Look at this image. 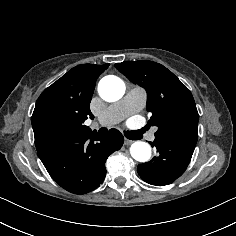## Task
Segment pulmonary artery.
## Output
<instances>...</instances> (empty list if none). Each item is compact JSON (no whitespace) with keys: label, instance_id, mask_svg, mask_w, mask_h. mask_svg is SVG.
I'll list each match as a JSON object with an SVG mask.
<instances>
[{"label":"pulmonary artery","instance_id":"pulmonary-artery-1","mask_svg":"<svg viewBox=\"0 0 236 236\" xmlns=\"http://www.w3.org/2000/svg\"><path fill=\"white\" fill-rule=\"evenodd\" d=\"M111 110V108H110ZM122 119L121 116L117 117L113 122H112V125H115L117 124L118 122H120ZM98 125L97 122H94L93 125H92V128L96 127ZM148 139L151 140V141H154L155 140V131H152L148 134Z\"/></svg>","mask_w":236,"mask_h":236}]
</instances>
